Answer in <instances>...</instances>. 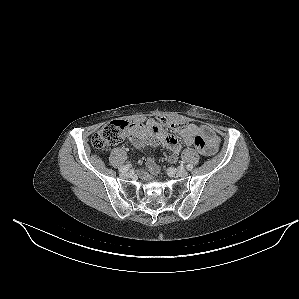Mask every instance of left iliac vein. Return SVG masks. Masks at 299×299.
<instances>
[{
	"label": "left iliac vein",
	"instance_id": "obj_1",
	"mask_svg": "<svg viewBox=\"0 0 299 299\" xmlns=\"http://www.w3.org/2000/svg\"><path fill=\"white\" fill-rule=\"evenodd\" d=\"M168 172H169V174L175 175L178 177H186L188 175V171L185 169L169 168Z\"/></svg>",
	"mask_w": 299,
	"mask_h": 299
}]
</instances>
